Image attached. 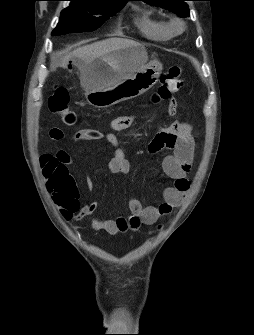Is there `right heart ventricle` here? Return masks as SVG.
<instances>
[{
	"label": "right heart ventricle",
	"mask_w": 254,
	"mask_h": 335,
	"mask_svg": "<svg viewBox=\"0 0 254 335\" xmlns=\"http://www.w3.org/2000/svg\"><path fill=\"white\" fill-rule=\"evenodd\" d=\"M135 25L144 37L151 40L167 41L172 37L168 23L148 10H143L137 15Z\"/></svg>",
	"instance_id": "1"
}]
</instances>
